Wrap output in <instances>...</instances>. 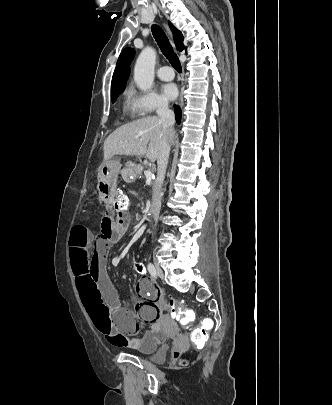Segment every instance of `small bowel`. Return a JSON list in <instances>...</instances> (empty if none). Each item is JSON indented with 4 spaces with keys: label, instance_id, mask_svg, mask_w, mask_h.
I'll list each match as a JSON object with an SVG mask.
<instances>
[{
    "label": "small bowel",
    "instance_id": "obj_1",
    "mask_svg": "<svg viewBox=\"0 0 332 405\" xmlns=\"http://www.w3.org/2000/svg\"><path fill=\"white\" fill-rule=\"evenodd\" d=\"M126 167L134 169L135 164L127 162ZM99 171L98 192L105 206L100 233L96 236L86 226L75 225L69 237V259L77 297L84 305V313L91 320V325L110 344L137 350L157 349V344L164 342L162 324L166 309L160 291L147 279L139 280L135 285L136 298L134 311L131 312L120 305L116 289L107 274V255L124 237L131 215L129 211H122L126 217L120 219V212L110 210V205L115 202L113 183H117L119 176L116 159H105ZM142 322H151L150 329L142 337H132L138 333Z\"/></svg>",
    "mask_w": 332,
    "mask_h": 405
}]
</instances>
